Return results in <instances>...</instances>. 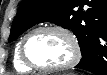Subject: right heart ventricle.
Listing matches in <instances>:
<instances>
[{"instance_id": "1", "label": "right heart ventricle", "mask_w": 107, "mask_h": 75, "mask_svg": "<svg viewBox=\"0 0 107 75\" xmlns=\"http://www.w3.org/2000/svg\"><path fill=\"white\" fill-rule=\"evenodd\" d=\"M22 39L16 44L15 51H14V57H13V64L17 71L19 72H29L32 69L26 66L20 57V44Z\"/></svg>"}]
</instances>
